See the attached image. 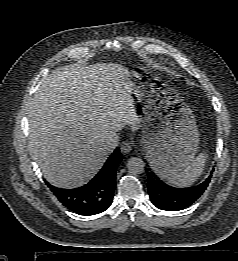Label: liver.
<instances>
[{
	"instance_id": "1",
	"label": "liver",
	"mask_w": 238,
	"mask_h": 261,
	"mask_svg": "<svg viewBox=\"0 0 238 261\" xmlns=\"http://www.w3.org/2000/svg\"><path fill=\"white\" fill-rule=\"evenodd\" d=\"M129 76L119 64L71 65L41 83L28 112V149L50 184H86L111 153L106 136L127 124L139 127Z\"/></svg>"
}]
</instances>
